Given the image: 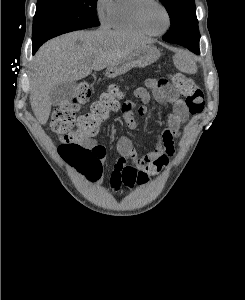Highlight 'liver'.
<instances>
[{
	"label": "liver",
	"mask_w": 245,
	"mask_h": 300,
	"mask_svg": "<svg viewBox=\"0 0 245 300\" xmlns=\"http://www.w3.org/2000/svg\"><path fill=\"white\" fill-rule=\"evenodd\" d=\"M148 43L145 38L105 28L75 31L46 42L35 55L30 79V103L39 123L48 121L50 93L56 86L107 68Z\"/></svg>",
	"instance_id": "obj_1"
}]
</instances>
